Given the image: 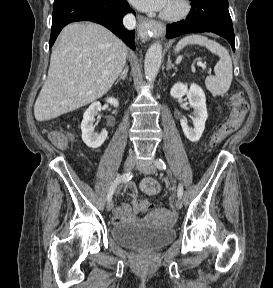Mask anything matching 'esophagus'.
<instances>
[{"label":"esophagus","instance_id":"esophagus-1","mask_svg":"<svg viewBox=\"0 0 273 288\" xmlns=\"http://www.w3.org/2000/svg\"><path fill=\"white\" fill-rule=\"evenodd\" d=\"M139 21V34L143 39L148 37V33L151 32L153 35L161 36L165 32V26L157 21L150 20L144 16L138 17Z\"/></svg>","mask_w":273,"mask_h":288}]
</instances>
